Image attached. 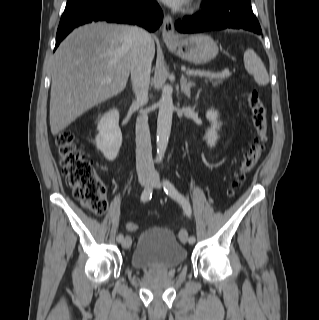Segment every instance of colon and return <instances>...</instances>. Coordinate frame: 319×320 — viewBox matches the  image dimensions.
Instances as JSON below:
<instances>
[{
  "label": "colon",
  "mask_w": 319,
  "mask_h": 320,
  "mask_svg": "<svg viewBox=\"0 0 319 320\" xmlns=\"http://www.w3.org/2000/svg\"><path fill=\"white\" fill-rule=\"evenodd\" d=\"M250 118L254 128V137L248 152L234 172L229 196L241 185L246 176L256 166L264 154L268 141V122L266 107L256 90L247 95ZM56 146L60 157V165L65 180L72 188L73 195L82 205L95 215H102L107 208L106 188L96 172L93 161L76 145L74 135L70 131H62L56 137ZM126 229L138 230L135 223H128Z\"/></svg>",
  "instance_id": "obj_1"
}]
</instances>
